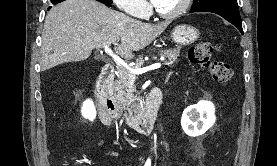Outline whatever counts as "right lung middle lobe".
I'll return each instance as SVG.
<instances>
[{
    "instance_id": "obj_1",
    "label": "right lung middle lobe",
    "mask_w": 277,
    "mask_h": 166,
    "mask_svg": "<svg viewBox=\"0 0 277 166\" xmlns=\"http://www.w3.org/2000/svg\"><path fill=\"white\" fill-rule=\"evenodd\" d=\"M106 1H108V2H112V0H106Z\"/></svg>"
}]
</instances>
